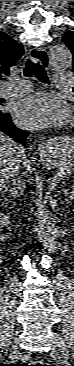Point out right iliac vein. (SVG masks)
Segmentation results:
<instances>
[{
    "label": "right iliac vein",
    "instance_id": "obj_1",
    "mask_svg": "<svg viewBox=\"0 0 74 366\" xmlns=\"http://www.w3.org/2000/svg\"><path fill=\"white\" fill-rule=\"evenodd\" d=\"M13 350H14V352H16V351H17V347H16V346H14Z\"/></svg>",
    "mask_w": 74,
    "mask_h": 366
}]
</instances>
